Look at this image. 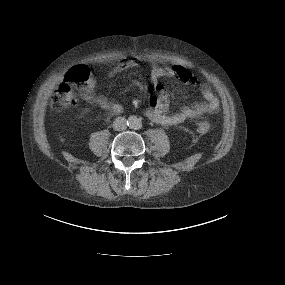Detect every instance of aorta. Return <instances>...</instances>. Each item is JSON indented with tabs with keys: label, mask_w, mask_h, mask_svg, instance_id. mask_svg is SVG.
<instances>
[{
	"label": "aorta",
	"mask_w": 285,
	"mask_h": 285,
	"mask_svg": "<svg viewBox=\"0 0 285 285\" xmlns=\"http://www.w3.org/2000/svg\"><path fill=\"white\" fill-rule=\"evenodd\" d=\"M127 124L131 129H139L141 128V125H142L141 120L134 115L128 118Z\"/></svg>",
	"instance_id": "aorta-1"
}]
</instances>
